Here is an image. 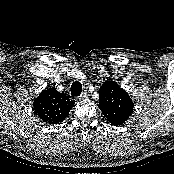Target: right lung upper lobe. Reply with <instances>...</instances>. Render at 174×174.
Here are the masks:
<instances>
[{"mask_svg":"<svg viewBox=\"0 0 174 174\" xmlns=\"http://www.w3.org/2000/svg\"><path fill=\"white\" fill-rule=\"evenodd\" d=\"M74 102L67 95L59 93L54 87L43 90L33 102L34 112L47 124L62 122Z\"/></svg>","mask_w":174,"mask_h":174,"instance_id":"cb5924a9","label":"right lung upper lobe"}]
</instances>
